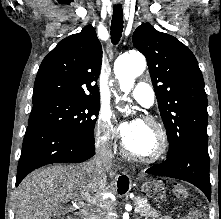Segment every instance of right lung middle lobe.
<instances>
[{
    "mask_svg": "<svg viewBox=\"0 0 221 219\" xmlns=\"http://www.w3.org/2000/svg\"><path fill=\"white\" fill-rule=\"evenodd\" d=\"M33 104L28 125H47L94 143V127L100 101L46 99Z\"/></svg>",
    "mask_w": 221,
    "mask_h": 219,
    "instance_id": "right-lung-middle-lobe-1",
    "label": "right lung middle lobe"
}]
</instances>
